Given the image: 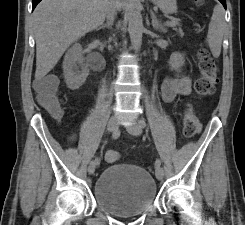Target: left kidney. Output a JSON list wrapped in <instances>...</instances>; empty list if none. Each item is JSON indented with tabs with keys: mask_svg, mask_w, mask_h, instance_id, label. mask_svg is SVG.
Masks as SVG:
<instances>
[{
	"mask_svg": "<svg viewBox=\"0 0 245 225\" xmlns=\"http://www.w3.org/2000/svg\"><path fill=\"white\" fill-rule=\"evenodd\" d=\"M184 61V55L179 52H175L171 55L168 63L172 70H179L180 67L183 66Z\"/></svg>",
	"mask_w": 245,
	"mask_h": 225,
	"instance_id": "5707ae66",
	"label": "left kidney"
}]
</instances>
